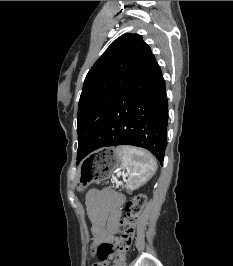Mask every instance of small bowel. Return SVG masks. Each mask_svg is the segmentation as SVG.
Listing matches in <instances>:
<instances>
[{"label":"small bowel","instance_id":"c3829d8e","mask_svg":"<svg viewBox=\"0 0 233 266\" xmlns=\"http://www.w3.org/2000/svg\"><path fill=\"white\" fill-rule=\"evenodd\" d=\"M123 197L109 190L94 191L86 201L87 214L91 222L93 249L111 243L118 229Z\"/></svg>","mask_w":233,"mask_h":266}]
</instances>
